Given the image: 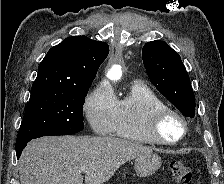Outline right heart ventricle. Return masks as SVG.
Instances as JSON below:
<instances>
[{
    "label": "right heart ventricle",
    "mask_w": 224,
    "mask_h": 184,
    "mask_svg": "<svg viewBox=\"0 0 224 184\" xmlns=\"http://www.w3.org/2000/svg\"><path fill=\"white\" fill-rule=\"evenodd\" d=\"M166 106L148 86L134 83L126 94L116 100L111 133L134 142L152 144L146 123L153 109Z\"/></svg>",
    "instance_id": "obj_1"
}]
</instances>
